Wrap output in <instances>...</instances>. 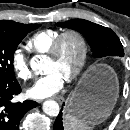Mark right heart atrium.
<instances>
[{
  "mask_svg": "<svg viewBox=\"0 0 130 130\" xmlns=\"http://www.w3.org/2000/svg\"><path fill=\"white\" fill-rule=\"evenodd\" d=\"M11 63L14 71L21 79H29L31 77V71L28 64V59L21 49H16L11 58Z\"/></svg>",
  "mask_w": 130,
  "mask_h": 130,
  "instance_id": "d8ad5b80",
  "label": "right heart atrium"
}]
</instances>
